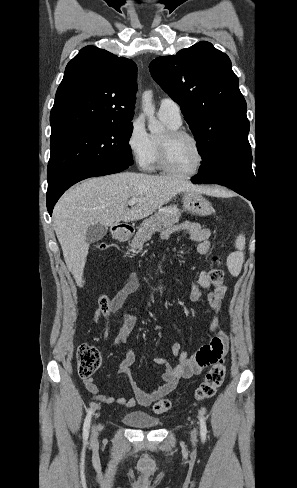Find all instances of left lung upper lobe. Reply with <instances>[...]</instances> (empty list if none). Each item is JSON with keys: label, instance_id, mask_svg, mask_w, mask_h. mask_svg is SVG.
I'll list each match as a JSON object with an SVG mask.
<instances>
[{"label": "left lung upper lobe", "instance_id": "1", "mask_svg": "<svg viewBox=\"0 0 297 488\" xmlns=\"http://www.w3.org/2000/svg\"><path fill=\"white\" fill-rule=\"evenodd\" d=\"M153 79L177 102L203 156L200 180L231 178L255 188L246 101L229 57L206 41L149 65Z\"/></svg>", "mask_w": 297, "mask_h": 488}]
</instances>
